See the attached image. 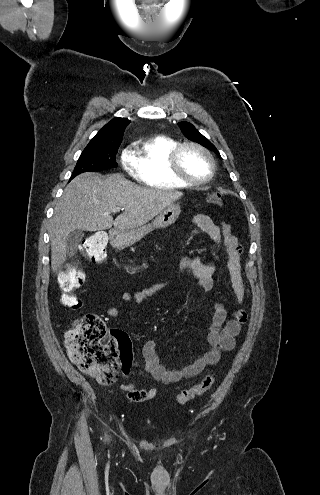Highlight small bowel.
<instances>
[{
  "label": "small bowel",
  "mask_w": 320,
  "mask_h": 495,
  "mask_svg": "<svg viewBox=\"0 0 320 495\" xmlns=\"http://www.w3.org/2000/svg\"><path fill=\"white\" fill-rule=\"evenodd\" d=\"M191 222L207 233L215 245L224 247L226 253L225 265L229 272L231 286L238 304L241 305L248 298L249 290L242 276V247L238 238L232 234L228 224L218 223L211 216L197 214L192 218ZM179 268L183 273L192 277L204 290L212 291L214 287L213 275L216 271L214 263H204L199 256H194L182 259ZM161 286V284H154L134 293L124 292L121 299L124 302L139 305L146 298L155 294ZM107 315L114 320H118L119 310L115 307L109 308ZM246 318L244 310L236 309L229 313L222 303L215 301L206 336V351L180 369H168L160 363L156 351L157 339L151 338L145 342L142 348L145 371L163 384L175 383L198 375L206 366L216 364L220 360L222 351H230L234 348L235 338L239 335ZM130 364L122 365L124 374L129 373ZM119 387L128 392L135 390L134 384H120ZM147 392L149 399L155 396L156 389L151 388Z\"/></svg>",
  "instance_id": "obj_1"
}]
</instances>
